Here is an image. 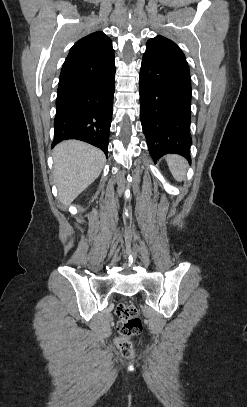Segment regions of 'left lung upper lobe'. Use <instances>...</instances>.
Segmentation results:
<instances>
[{"mask_svg": "<svg viewBox=\"0 0 247 407\" xmlns=\"http://www.w3.org/2000/svg\"><path fill=\"white\" fill-rule=\"evenodd\" d=\"M146 52L153 53L161 58L180 61L187 64L184 53L171 40L157 36L147 41Z\"/></svg>", "mask_w": 247, "mask_h": 407, "instance_id": "left-lung-upper-lobe-1", "label": "left lung upper lobe"}]
</instances>
